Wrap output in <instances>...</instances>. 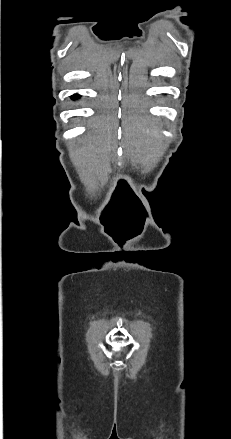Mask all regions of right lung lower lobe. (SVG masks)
I'll use <instances>...</instances> for the list:
<instances>
[{"mask_svg":"<svg viewBox=\"0 0 231 439\" xmlns=\"http://www.w3.org/2000/svg\"><path fill=\"white\" fill-rule=\"evenodd\" d=\"M78 97H79L78 95H74V96H72L73 99H76V98H78Z\"/></svg>","mask_w":231,"mask_h":439,"instance_id":"1","label":"right lung lower lobe"}]
</instances>
